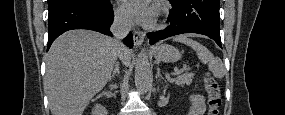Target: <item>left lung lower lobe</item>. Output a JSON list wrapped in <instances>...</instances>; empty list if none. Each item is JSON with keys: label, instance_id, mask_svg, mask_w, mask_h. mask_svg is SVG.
<instances>
[{"label": "left lung lower lobe", "instance_id": "0a47b994", "mask_svg": "<svg viewBox=\"0 0 285 115\" xmlns=\"http://www.w3.org/2000/svg\"><path fill=\"white\" fill-rule=\"evenodd\" d=\"M172 9L168 16L170 25L148 33L150 44L182 33H198L212 38L221 47L220 0H169Z\"/></svg>", "mask_w": 285, "mask_h": 115}]
</instances>
